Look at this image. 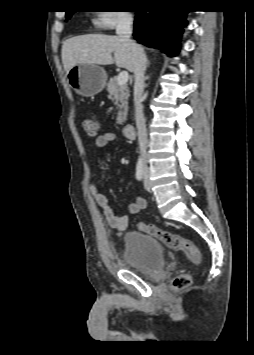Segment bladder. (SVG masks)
Returning a JSON list of instances; mask_svg holds the SVG:
<instances>
[{
    "instance_id": "bladder-1",
    "label": "bladder",
    "mask_w": 254,
    "mask_h": 355,
    "mask_svg": "<svg viewBox=\"0 0 254 355\" xmlns=\"http://www.w3.org/2000/svg\"><path fill=\"white\" fill-rule=\"evenodd\" d=\"M123 258L129 268L148 275L165 271L166 252L154 237L136 232L124 235Z\"/></svg>"
}]
</instances>
